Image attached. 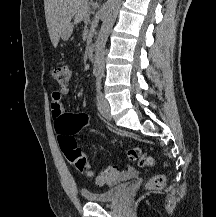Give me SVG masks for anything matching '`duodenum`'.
Masks as SVG:
<instances>
[{
    "label": "duodenum",
    "mask_w": 216,
    "mask_h": 217,
    "mask_svg": "<svg viewBox=\"0 0 216 217\" xmlns=\"http://www.w3.org/2000/svg\"><path fill=\"white\" fill-rule=\"evenodd\" d=\"M95 44L94 43H91L89 46H88V57L91 61H94L95 59Z\"/></svg>",
    "instance_id": "1"
}]
</instances>
